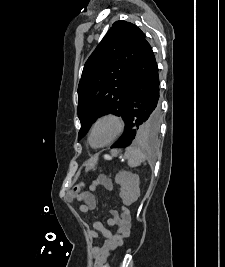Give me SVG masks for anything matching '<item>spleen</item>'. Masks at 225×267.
<instances>
[{
    "mask_svg": "<svg viewBox=\"0 0 225 267\" xmlns=\"http://www.w3.org/2000/svg\"><path fill=\"white\" fill-rule=\"evenodd\" d=\"M125 157L128 160V166L134 168L146 161V155L137 147H128L125 151Z\"/></svg>",
    "mask_w": 225,
    "mask_h": 267,
    "instance_id": "obj_1",
    "label": "spleen"
}]
</instances>
